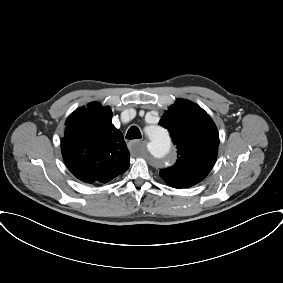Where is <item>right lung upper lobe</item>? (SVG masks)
Here are the masks:
<instances>
[{
    "instance_id": "right-lung-upper-lobe-1",
    "label": "right lung upper lobe",
    "mask_w": 283,
    "mask_h": 283,
    "mask_svg": "<svg viewBox=\"0 0 283 283\" xmlns=\"http://www.w3.org/2000/svg\"><path fill=\"white\" fill-rule=\"evenodd\" d=\"M112 111L99 103L76 109L66 120L61 148L69 170L84 182L107 183L130 166L122 133Z\"/></svg>"
}]
</instances>
